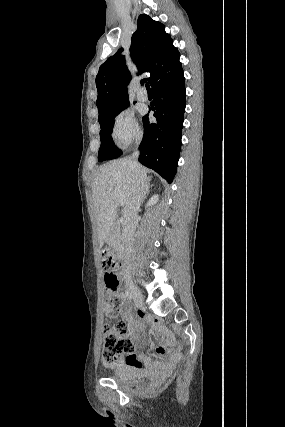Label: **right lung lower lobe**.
<instances>
[{"label": "right lung lower lobe", "instance_id": "98d812e1", "mask_svg": "<svg viewBox=\"0 0 285 427\" xmlns=\"http://www.w3.org/2000/svg\"><path fill=\"white\" fill-rule=\"evenodd\" d=\"M152 90L154 100L150 109L154 110L157 122L150 123L148 115L143 117L144 136L138 160L171 183L179 159L185 112L183 70Z\"/></svg>", "mask_w": 285, "mask_h": 427}]
</instances>
